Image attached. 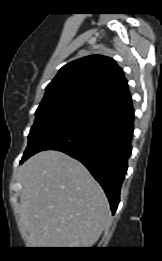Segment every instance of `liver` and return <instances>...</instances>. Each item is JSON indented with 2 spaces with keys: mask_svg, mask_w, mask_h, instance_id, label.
Listing matches in <instances>:
<instances>
[{
  "mask_svg": "<svg viewBox=\"0 0 162 261\" xmlns=\"http://www.w3.org/2000/svg\"><path fill=\"white\" fill-rule=\"evenodd\" d=\"M20 219L36 248H88L110 221L100 185L77 160L40 152L20 170Z\"/></svg>",
  "mask_w": 162,
  "mask_h": 261,
  "instance_id": "obj_1",
  "label": "liver"
}]
</instances>
